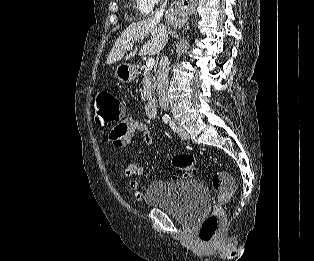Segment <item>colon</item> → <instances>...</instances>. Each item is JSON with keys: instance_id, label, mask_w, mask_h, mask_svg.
Returning <instances> with one entry per match:
<instances>
[{"instance_id": "colon-1", "label": "colon", "mask_w": 314, "mask_h": 261, "mask_svg": "<svg viewBox=\"0 0 314 261\" xmlns=\"http://www.w3.org/2000/svg\"><path fill=\"white\" fill-rule=\"evenodd\" d=\"M94 108L95 122L99 127L105 128L117 124L115 129H122L119 125L124 117V107L110 92H99L94 99ZM170 162L175 169L182 173L184 178L193 177L199 171L197 162L188 154L174 155L170 158ZM211 183L217 195V203L214 205L212 213L199 227V238L205 243H211L217 239L224 221L223 204L228 202L236 192L234 179L225 171L215 172Z\"/></svg>"}]
</instances>
